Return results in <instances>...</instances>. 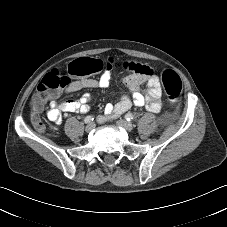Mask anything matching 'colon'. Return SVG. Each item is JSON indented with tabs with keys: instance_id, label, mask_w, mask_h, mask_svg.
<instances>
[{
	"instance_id": "5ec220e1",
	"label": "colon",
	"mask_w": 227,
	"mask_h": 227,
	"mask_svg": "<svg viewBox=\"0 0 227 227\" xmlns=\"http://www.w3.org/2000/svg\"><path fill=\"white\" fill-rule=\"evenodd\" d=\"M130 71L150 77L153 71L146 65L132 61L129 62ZM102 69V62L96 58L82 57L73 60L67 66V73L54 68L46 74L36 86L31 98L32 123L40 131L46 129L45 123L38 113L44 108L45 103L56 97L59 92L71 84V78H85L97 74ZM162 84L167 100L175 103L181 96L183 85L180 76L173 70H165L161 74Z\"/></svg>"
}]
</instances>
